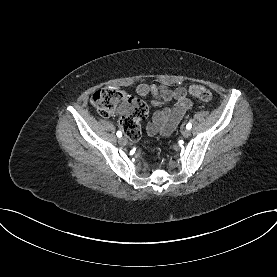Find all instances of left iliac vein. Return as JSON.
Segmentation results:
<instances>
[{"instance_id": "1", "label": "left iliac vein", "mask_w": 277, "mask_h": 277, "mask_svg": "<svg viewBox=\"0 0 277 277\" xmlns=\"http://www.w3.org/2000/svg\"><path fill=\"white\" fill-rule=\"evenodd\" d=\"M182 135H183V137L187 138V137H189L191 135V131L189 129H184L182 131Z\"/></svg>"}]
</instances>
